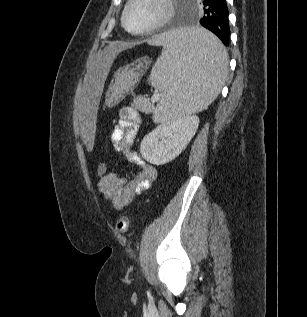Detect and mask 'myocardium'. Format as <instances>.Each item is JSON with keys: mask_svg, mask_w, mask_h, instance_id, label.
Masks as SVG:
<instances>
[{"mask_svg": "<svg viewBox=\"0 0 307 317\" xmlns=\"http://www.w3.org/2000/svg\"><path fill=\"white\" fill-rule=\"evenodd\" d=\"M136 2V0H128L121 15V25L122 27L130 34L132 35H145L152 33L160 28H162L164 25H166L172 18L174 14V6H173V0H162V2L165 5V12L163 15L152 25L149 27L138 30V31H132L130 30L126 25V16L130 9V7Z\"/></svg>", "mask_w": 307, "mask_h": 317, "instance_id": "myocardium-1", "label": "myocardium"}]
</instances>
